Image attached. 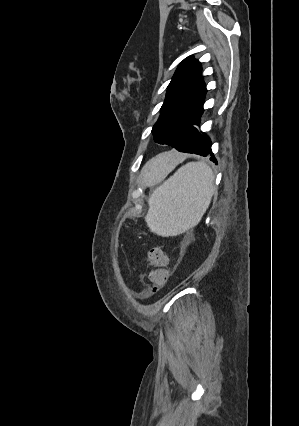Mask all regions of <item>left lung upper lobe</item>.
I'll list each match as a JSON object with an SVG mask.
<instances>
[{
    "mask_svg": "<svg viewBox=\"0 0 299 426\" xmlns=\"http://www.w3.org/2000/svg\"><path fill=\"white\" fill-rule=\"evenodd\" d=\"M152 133L155 142L171 145L203 109L207 92L198 60L188 57L177 68Z\"/></svg>",
    "mask_w": 299,
    "mask_h": 426,
    "instance_id": "obj_1",
    "label": "left lung upper lobe"
}]
</instances>
